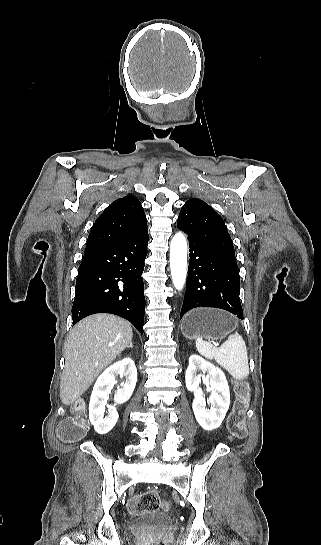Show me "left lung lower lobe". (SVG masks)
<instances>
[{
  "mask_svg": "<svg viewBox=\"0 0 321 545\" xmlns=\"http://www.w3.org/2000/svg\"><path fill=\"white\" fill-rule=\"evenodd\" d=\"M177 225L189 237L187 288L180 319L192 308L214 307L243 319L240 276L224 220L205 202L184 205Z\"/></svg>",
  "mask_w": 321,
  "mask_h": 545,
  "instance_id": "1",
  "label": "left lung lower lobe"
}]
</instances>
